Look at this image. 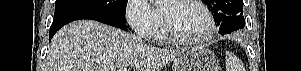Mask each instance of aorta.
Segmentation results:
<instances>
[{"mask_svg": "<svg viewBox=\"0 0 301 71\" xmlns=\"http://www.w3.org/2000/svg\"><path fill=\"white\" fill-rule=\"evenodd\" d=\"M152 2H155L156 5H164L168 2V0H152Z\"/></svg>", "mask_w": 301, "mask_h": 71, "instance_id": "obj_1", "label": "aorta"}]
</instances>
